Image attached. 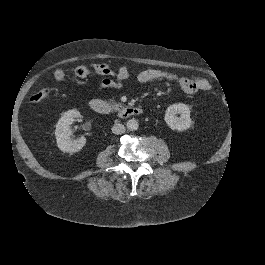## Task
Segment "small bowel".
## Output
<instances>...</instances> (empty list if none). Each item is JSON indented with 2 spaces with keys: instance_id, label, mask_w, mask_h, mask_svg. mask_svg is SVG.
I'll return each mask as SVG.
<instances>
[{
  "instance_id": "1",
  "label": "small bowel",
  "mask_w": 265,
  "mask_h": 265,
  "mask_svg": "<svg viewBox=\"0 0 265 265\" xmlns=\"http://www.w3.org/2000/svg\"><path fill=\"white\" fill-rule=\"evenodd\" d=\"M92 68L97 75L104 77L97 86V92L105 89H121L131 72V68L128 66H122L118 71H114L108 64H94ZM157 79L176 82L187 94L206 91L211 87L209 81L204 77H179L174 73L159 69H148L137 76V80L141 83Z\"/></svg>"
}]
</instances>
